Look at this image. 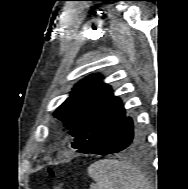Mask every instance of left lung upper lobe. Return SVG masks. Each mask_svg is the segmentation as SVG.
Masks as SVG:
<instances>
[{"label":"left lung upper lobe","instance_id":"1","mask_svg":"<svg viewBox=\"0 0 188 189\" xmlns=\"http://www.w3.org/2000/svg\"><path fill=\"white\" fill-rule=\"evenodd\" d=\"M102 79L94 74L81 80L54 112L75 137L77 152L88 153L125 117L122 101Z\"/></svg>","mask_w":188,"mask_h":189}]
</instances>
